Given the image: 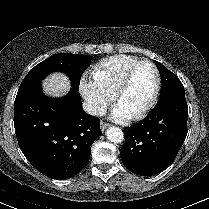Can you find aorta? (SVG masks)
I'll list each match as a JSON object with an SVG mask.
<instances>
[{
	"instance_id": "762f6f07",
	"label": "aorta",
	"mask_w": 209,
	"mask_h": 209,
	"mask_svg": "<svg viewBox=\"0 0 209 209\" xmlns=\"http://www.w3.org/2000/svg\"><path fill=\"white\" fill-rule=\"evenodd\" d=\"M106 136L112 143H121L124 140L123 131L116 126L109 127L106 131Z\"/></svg>"
}]
</instances>
